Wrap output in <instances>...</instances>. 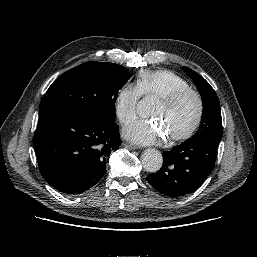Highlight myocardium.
I'll use <instances>...</instances> for the list:
<instances>
[{
  "instance_id": "1",
  "label": "myocardium",
  "mask_w": 257,
  "mask_h": 257,
  "mask_svg": "<svg viewBox=\"0 0 257 257\" xmlns=\"http://www.w3.org/2000/svg\"><path fill=\"white\" fill-rule=\"evenodd\" d=\"M191 95L195 98L197 102V113L196 116L191 123V125L182 133L171 136V140L173 141H181L189 138L199 127L205 110L204 99L202 95L195 89L190 87L183 88L180 90L173 91L165 96L159 98V101L165 105L172 106L179 102L184 97Z\"/></svg>"
}]
</instances>
